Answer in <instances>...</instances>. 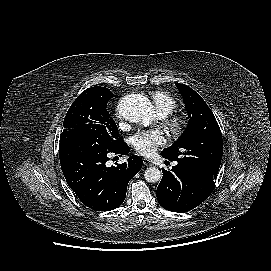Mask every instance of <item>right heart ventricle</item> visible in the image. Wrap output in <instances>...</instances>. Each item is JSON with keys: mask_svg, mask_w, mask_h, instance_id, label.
<instances>
[{"mask_svg": "<svg viewBox=\"0 0 271 271\" xmlns=\"http://www.w3.org/2000/svg\"><path fill=\"white\" fill-rule=\"evenodd\" d=\"M153 99H154L156 110L161 115H168L172 113L177 107V103L175 99L164 92L154 93Z\"/></svg>", "mask_w": 271, "mask_h": 271, "instance_id": "obj_1", "label": "right heart ventricle"}]
</instances>
